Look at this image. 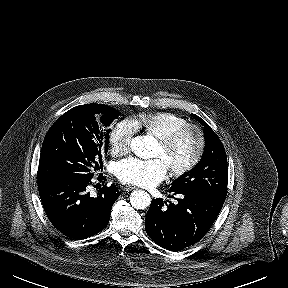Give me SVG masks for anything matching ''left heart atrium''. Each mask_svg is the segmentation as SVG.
Here are the masks:
<instances>
[{"label":"left heart atrium","instance_id":"1","mask_svg":"<svg viewBox=\"0 0 288 288\" xmlns=\"http://www.w3.org/2000/svg\"><path fill=\"white\" fill-rule=\"evenodd\" d=\"M167 170L168 166L162 157H131L116 166V174L120 181L142 187H152L163 181L167 176Z\"/></svg>","mask_w":288,"mask_h":288}]
</instances>
